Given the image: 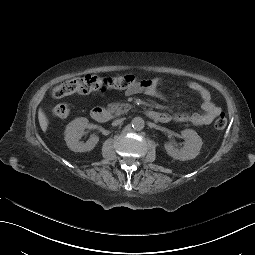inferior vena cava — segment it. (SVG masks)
<instances>
[{
  "label": "inferior vena cava",
  "instance_id": "1",
  "mask_svg": "<svg viewBox=\"0 0 255 255\" xmlns=\"http://www.w3.org/2000/svg\"><path fill=\"white\" fill-rule=\"evenodd\" d=\"M123 121H124L123 118L115 120V121H113L112 125L113 126L121 125L123 123Z\"/></svg>",
  "mask_w": 255,
  "mask_h": 255
}]
</instances>
